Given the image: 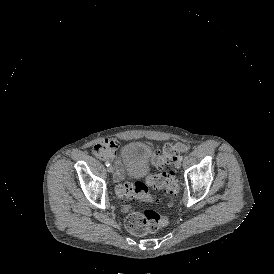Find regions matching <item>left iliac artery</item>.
<instances>
[{
  "instance_id": "obj_1",
  "label": "left iliac artery",
  "mask_w": 274,
  "mask_h": 274,
  "mask_svg": "<svg viewBox=\"0 0 274 274\" xmlns=\"http://www.w3.org/2000/svg\"><path fill=\"white\" fill-rule=\"evenodd\" d=\"M178 160H179V161H182V160H183V156H179V157H178Z\"/></svg>"
}]
</instances>
